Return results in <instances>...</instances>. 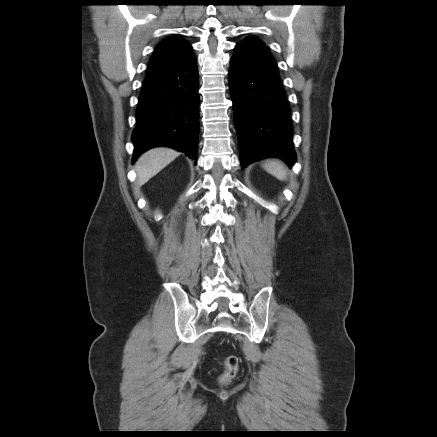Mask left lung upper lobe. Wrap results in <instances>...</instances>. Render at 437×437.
<instances>
[{
    "label": "left lung upper lobe",
    "instance_id": "1",
    "mask_svg": "<svg viewBox=\"0 0 437 437\" xmlns=\"http://www.w3.org/2000/svg\"><path fill=\"white\" fill-rule=\"evenodd\" d=\"M240 43L247 45L248 47L254 49L255 51L262 54L268 61H270L274 66L277 67V63L271 55L269 48L256 37H248L247 39L241 41Z\"/></svg>",
    "mask_w": 437,
    "mask_h": 437
}]
</instances>
